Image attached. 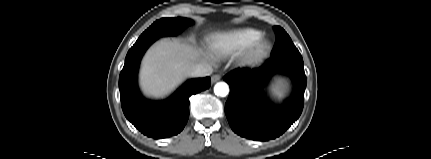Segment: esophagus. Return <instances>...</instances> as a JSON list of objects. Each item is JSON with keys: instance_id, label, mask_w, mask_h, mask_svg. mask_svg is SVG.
<instances>
[{"instance_id": "1", "label": "esophagus", "mask_w": 431, "mask_h": 159, "mask_svg": "<svg viewBox=\"0 0 431 159\" xmlns=\"http://www.w3.org/2000/svg\"><path fill=\"white\" fill-rule=\"evenodd\" d=\"M221 79V76L219 74H215L211 77V82L215 83Z\"/></svg>"}]
</instances>
